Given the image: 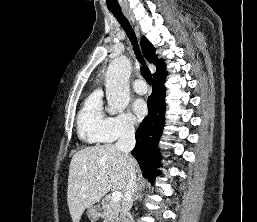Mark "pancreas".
<instances>
[{
	"mask_svg": "<svg viewBox=\"0 0 257 222\" xmlns=\"http://www.w3.org/2000/svg\"><path fill=\"white\" fill-rule=\"evenodd\" d=\"M120 204L110 200H104L102 205V213L100 214L103 222H118Z\"/></svg>",
	"mask_w": 257,
	"mask_h": 222,
	"instance_id": "obj_1",
	"label": "pancreas"
}]
</instances>
